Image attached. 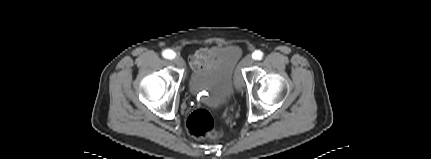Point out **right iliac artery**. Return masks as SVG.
<instances>
[{
	"label": "right iliac artery",
	"instance_id": "82829eb1",
	"mask_svg": "<svg viewBox=\"0 0 431 159\" xmlns=\"http://www.w3.org/2000/svg\"><path fill=\"white\" fill-rule=\"evenodd\" d=\"M163 56L165 57V58H168V59H172V58H174L175 57V53L172 51V50H165L164 52H163Z\"/></svg>",
	"mask_w": 431,
	"mask_h": 159
}]
</instances>
